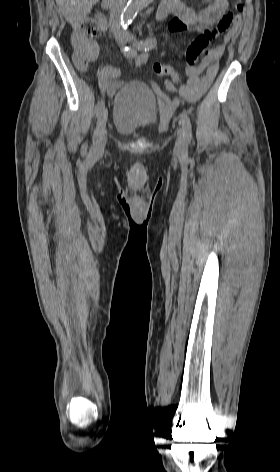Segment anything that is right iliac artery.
Segmentation results:
<instances>
[{"instance_id": "obj_1", "label": "right iliac artery", "mask_w": 280, "mask_h": 472, "mask_svg": "<svg viewBox=\"0 0 280 472\" xmlns=\"http://www.w3.org/2000/svg\"><path fill=\"white\" fill-rule=\"evenodd\" d=\"M122 51L127 58H134L137 55V51L134 48L131 47H124L122 48ZM112 73V67L107 66L101 70L98 76V81H99V87L101 89L102 95H104V92L107 87V82L108 78ZM104 108V99L102 98L101 100L98 101V103L95 106V114L98 116L102 109Z\"/></svg>"}]
</instances>
